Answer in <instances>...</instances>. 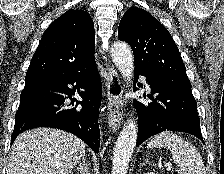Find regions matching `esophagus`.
Instances as JSON below:
<instances>
[{
    "label": "esophagus",
    "mask_w": 224,
    "mask_h": 174,
    "mask_svg": "<svg viewBox=\"0 0 224 174\" xmlns=\"http://www.w3.org/2000/svg\"><path fill=\"white\" fill-rule=\"evenodd\" d=\"M107 96L109 101L108 125L116 132L119 129L122 119V108L124 105L123 87L116 69L113 66H107Z\"/></svg>",
    "instance_id": "34e87169"
}]
</instances>
